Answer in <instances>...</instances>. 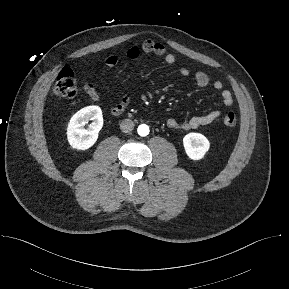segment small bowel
<instances>
[{"label":"small bowel","mask_w":289,"mask_h":289,"mask_svg":"<svg viewBox=\"0 0 289 289\" xmlns=\"http://www.w3.org/2000/svg\"><path fill=\"white\" fill-rule=\"evenodd\" d=\"M142 53L153 54L162 57L164 59V62L168 65H173L176 62L175 55H173L172 53H168L165 46L162 43L151 39L145 40L140 46H132L128 48L125 52V57L129 60H135ZM118 61H119L118 55L110 54L105 59L103 70L116 66ZM180 74L184 77H187L191 74V71L188 67L183 66L180 68ZM193 79L195 81V84L200 88H206L209 85H211L215 90H217L220 93L221 104L223 106H231L233 104V96L231 92L228 89L224 88L223 83L221 81L216 80L211 82L209 76L204 71L201 70L195 71L193 73ZM83 88L85 93L90 97L91 100L93 101L99 100V94L93 82L91 81V77L84 84ZM128 103H129L128 95H123L118 103L110 107V112L113 115H119L127 107ZM220 116H221L220 110H213L202 116L191 117L189 120L183 123H180L176 119L172 118L167 121V125L169 128L172 129H183V130L197 129L213 123Z\"/></svg>","instance_id":"1"}]
</instances>
